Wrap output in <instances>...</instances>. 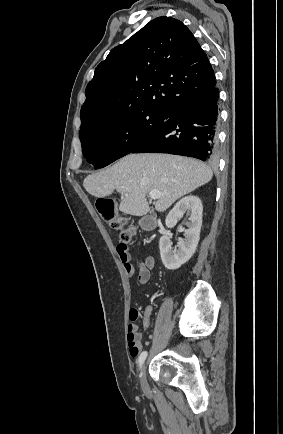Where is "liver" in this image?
<instances>
[{
	"mask_svg": "<svg viewBox=\"0 0 283 434\" xmlns=\"http://www.w3.org/2000/svg\"><path fill=\"white\" fill-rule=\"evenodd\" d=\"M213 172L201 161L169 154H128L112 167L88 175L83 186L95 197H106L114 190L121 194L119 210L133 216L149 211L147 194L161 193L155 203L158 212L176 200L208 183Z\"/></svg>",
	"mask_w": 283,
	"mask_h": 434,
	"instance_id": "6515ba94",
	"label": "liver"
}]
</instances>
